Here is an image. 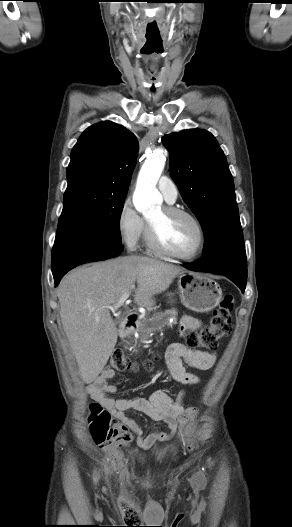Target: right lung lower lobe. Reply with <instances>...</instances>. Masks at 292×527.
Returning a JSON list of instances; mask_svg holds the SVG:
<instances>
[{
	"instance_id": "obj_1",
	"label": "right lung lower lobe",
	"mask_w": 292,
	"mask_h": 527,
	"mask_svg": "<svg viewBox=\"0 0 292 527\" xmlns=\"http://www.w3.org/2000/svg\"><path fill=\"white\" fill-rule=\"evenodd\" d=\"M120 243L105 236L65 231L56 234L52 250V273L57 286L61 278L74 267L118 256Z\"/></svg>"
}]
</instances>
